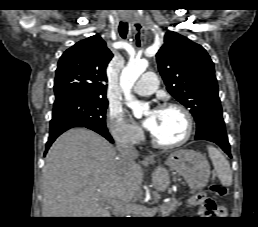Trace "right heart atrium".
Wrapping results in <instances>:
<instances>
[{"label": "right heart atrium", "mask_w": 258, "mask_h": 227, "mask_svg": "<svg viewBox=\"0 0 258 227\" xmlns=\"http://www.w3.org/2000/svg\"><path fill=\"white\" fill-rule=\"evenodd\" d=\"M107 125L113 139L118 143L137 145L142 140V131L125 116L121 108L109 109Z\"/></svg>", "instance_id": "obj_1"}]
</instances>
